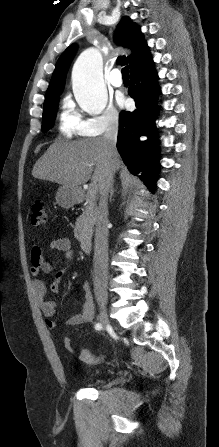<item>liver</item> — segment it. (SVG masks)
Returning a JSON list of instances; mask_svg holds the SVG:
<instances>
[{
  "mask_svg": "<svg viewBox=\"0 0 219 447\" xmlns=\"http://www.w3.org/2000/svg\"><path fill=\"white\" fill-rule=\"evenodd\" d=\"M114 166L115 171L121 166L118 152L114 157ZM108 169L105 141L99 137L53 143L36 161L32 175L69 187L85 184L91 178L99 189Z\"/></svg>",
  "mask_w": 219,
  "mask_h": 447,
  "instance_id": "6515ba94",
  "label": "liver"
}]
</instances>
